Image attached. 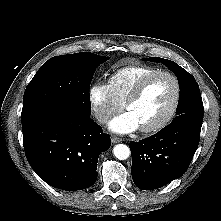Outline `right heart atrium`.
<instances>
[{"label": "right heart atrium", "mask_w": 221, "mask_h": 221, "mask_svg": "<svg viewBox=\"0 0 221 221\" xmlns=\"http://www.w3.org/2000/svg\"><path fill=\"white\" fill-rule=\"evenodd\" d=\"M88 101L95 119L105 124L121 109V103L116 100L108 84L95 82L88 89Z\"/></svg>", "instance_id": "obj_1"}]
</instances>
